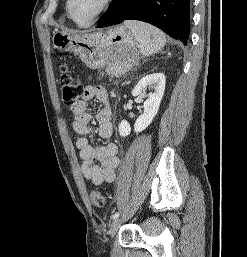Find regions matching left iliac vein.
<instances>
[{
	"label": "left iliac vein",
	"mask_w": 247,
	"mask_h": 257,
	"mask_svg": "<svg viewBox=\"0 0 247 257\" xmlns=\"http://www.w3.org/2000/svg\"><path fill=\"white\" fill-rule=\"evenodd\" d=\"M122 223V219L121 218H116L112 224H111V227H110V230H109V234L111 237H114V235L116 234V232L118 231L120 225Z\"/></svg>",
	"instance_id": "1"
}]
</instances>
